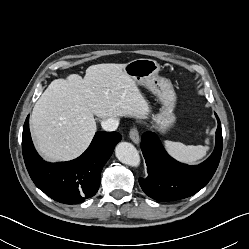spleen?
<instances>
[{
	"instance_id": "3e777b00",
	"label": "spleen",
	"mask_w": 249,
	"mask_h": 249,
	"mask_svg": "<svg viewBox=\"0 0 249 249\" xmlns=\"http://www.w3.org/2000/svg\"><path fill=\"white\" fill-rule=\"evenodd\" d=\"M206 143H209V140L206 139ZM164 147L166 148L167 152L176 160L187 163V164H194L200 159H202L209 147L208 146H202V145H189L186 146L183 143L180 142H172L165 140L163 142Z\"/></svg>"
}]
</instances>
